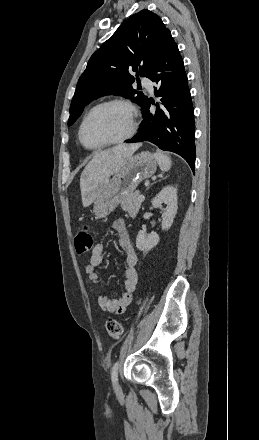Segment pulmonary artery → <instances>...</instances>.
I'll use <instances>...</instances> for the list:
<instances>
[{
  "mask_svg": "<svg viewBox=\"0 0 259 440\" xmlns=\"http://www.w3.org/2000/svg\"><path fill=\"white\" fill-rule=\"evenodd\" d=\"M142 84L144 85V87H145L148 91H150V92L153 91V82H152L149 78H147V77L143 78V79H142Z\"/></svg>",
  "mask_w": 259,
  "mask_h": 440,
  "instance_id": "1",
  "label": "pulmonary artery"
}]
</instances>
